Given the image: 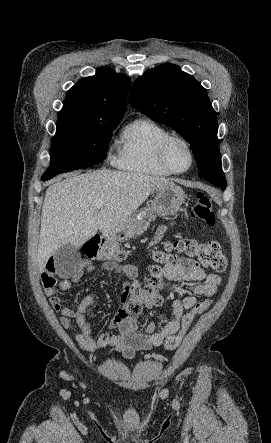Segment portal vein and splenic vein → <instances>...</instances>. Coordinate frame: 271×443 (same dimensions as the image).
<instances>
[{
    "instance_id": "portal-vein-and-splenic-vein-1",
    "label": "portal vein and splenic vein",
    "mask_w": 271,
    "mask_h": 443,
    "mask_svg": "<svg viewBox=\"0 0 271 443\" xmlns=\"http://www.w3.org/2000/svg\"><path fill=\"white\" fill-rule=\"evenodd\" d=\"M103 204L104 202H96V204H94V210H100V208H103Z\"/></svg>"
}]
</instances>
